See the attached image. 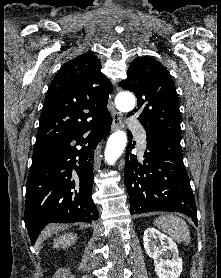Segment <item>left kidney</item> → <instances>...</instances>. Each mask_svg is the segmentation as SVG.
Listing matches in <instances>:
<instances>
[{
    "label": "left kidney",
    "mask_w": 221,
    "mask_h": 278,
    "mask_svg": "<svg viewBox=\"0 0 221 278\" xmlns=\"http://www.w3.org/2000/svg\"><path fill=\"white\" fill-rule=\"evenodd\" d=\"M143 243L147 255L154 260L158 278H179L183 262L178 255L177 244L170 237L150 227L144 231ZM157 243L169 250L171 259H164V253L159 250Z\"/></svg>",
    "instance_id": "1"
}]
</instances>
